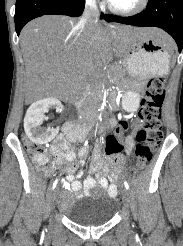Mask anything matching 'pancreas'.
Here are the masks:
<instances>
[{
	"label": "pancreas",
	"mask_w": 183,
	"mask_h": 246,
	"mask_svg": "<svg viewBox=\"0 0 183 246\" xmlns=\"http://www.w3.org/2000/svg\"><path fill=\"white\" fill-rule=\"evenodd\" d=\"M118 72H119L120 74H123V75L126 74V71H125L124 69H122V68H119V69H118Z\"/></svg>",
	"instance_id": "pancreas-1"
}]
</instances>
